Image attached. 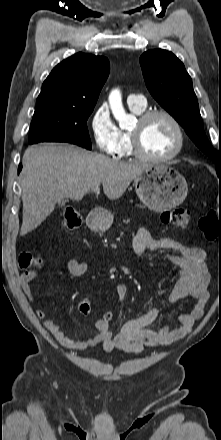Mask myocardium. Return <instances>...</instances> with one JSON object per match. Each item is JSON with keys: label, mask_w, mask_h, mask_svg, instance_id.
<instances>
[{"label": "myocardium", "mask_w": 221, "mask_h": 440, "mask_svg": "<svg viewBox=\"0 0 221 440\" xmlns=\"http://www.w3.org/2000/svg\"><path fill=\"white\" fill-rule=\"evenodd\" d=\"M155 116H163L167 118L173 125L177 135V144L174 150L166 156H162V157L152 156L143 149L139 134L137 132L131 131L129 133L131 138L132 150H133V154L139 159L149 162L164 163L176 158L181 153L185 143V136H184L183 128L180 122L178 121V119L172 113H170L165 109H152L145 111L139 114L138 122L140 124H144L145 122H147L148 120H150Z\"/></svg>", "instance_id": "1"}]
</instances>
